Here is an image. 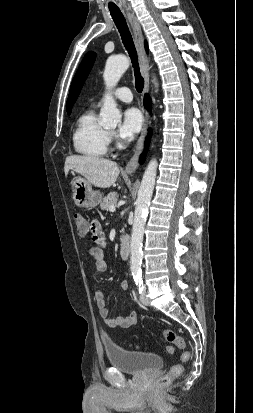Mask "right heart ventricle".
I'll return each instance as SVG.
<instances>
[{"instance_id": "e07e8e85", "label": "right heart ventricle", "mask_w": 253, "mask_h": 413, "mask_svg": "<svg viewBox=\"0 0 253 413\" xmlns=\"http://www.w3.org/2000/svg\"><path fill=\"white\" fill-rule=\"evenodd\" d=\"M72 140L78 154L88 158H100L106 155L109 144L108 133L98 122L93 108L83 112L77 119Z\"/></svg>"}]
</instances>
